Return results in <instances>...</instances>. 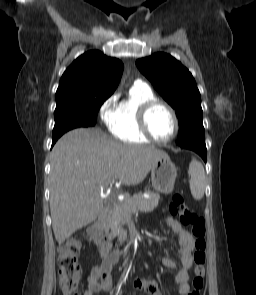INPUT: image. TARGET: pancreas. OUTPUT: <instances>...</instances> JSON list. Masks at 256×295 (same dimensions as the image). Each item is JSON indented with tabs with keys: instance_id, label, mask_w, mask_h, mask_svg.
Returning a JSON list of instances; mask_svg holds the SVG:
<instances>
[{
	"instance_id": "pancreas-1",
	"label": "pancreas",
	"mask_w": 256,
	"mask_h": 295,
	"mask_svg": "<svg viewBox=\"0 0 256 295\" xmlns=\"http://www.w3.org/2000/svg\"><path fill=\"white\" fill-rule=\"evenodd\" d=\"M147 194L150 198L137 194L115 203L104 223V230L109 239L118 237L119 241L125 240L127 232L123 229V225L131 220L132 214L137 211L151 212L158 206L160 195L151 191H147Z\"/></svg>"
}]
</instances>
